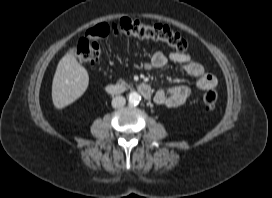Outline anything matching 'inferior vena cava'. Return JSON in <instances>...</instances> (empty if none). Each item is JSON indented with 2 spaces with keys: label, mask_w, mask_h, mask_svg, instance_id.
<instances>
[{
  "label": "inferior vena cava",
  "mask_w": 272,
  "mask_h": 198,
  "mask_svg": "<svg viewBox=\"0 0 272 198\" xmlns=\"http://www.w3.org/2000/svg\"><path fill=\"white\" fill-rule=\"evenodd\" d=\"M126 103V100L123 96H116L112 99V107L113 108H119L124 106Z\"/></svg>",
  "instance_id": "602c4592"
}]
</instances>
